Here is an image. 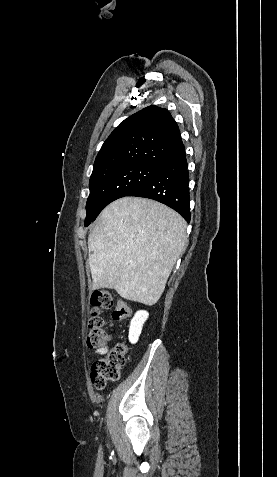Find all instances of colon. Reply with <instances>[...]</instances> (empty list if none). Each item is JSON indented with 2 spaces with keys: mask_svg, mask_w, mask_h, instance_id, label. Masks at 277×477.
<instances>
[{
  "mask_svg": "<svg viewBox=\"0 0 277 477\" xmlns=\"http://www.w3.org/2000/svg\"><path fill=\"white\" fill-rule=\"evenodd\" d=\"M91 312L88 321L87 343L91 348L106 346L111 340L105 330V321L101 315L103 310H111L112 319L125 321L130 315V308L125 300L110 290H99L90 297ZM127 346L119 343L110 349L106 356L96 360L91 367V382L96 389H103L109 381L118 379L120 369L125 364Z\"/></svg>",
  "mask_w": 277,
  "mask_h": 477,
  "instance_id": "colon-1",
  "label": "colon"
}]
</instances>
